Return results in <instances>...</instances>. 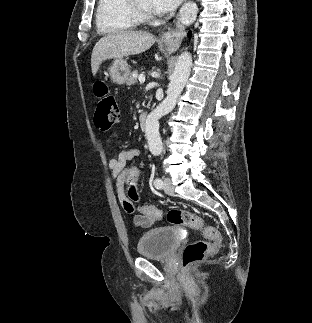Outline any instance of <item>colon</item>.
<instances>
[{
	"label": "colon",
	"mask_w": 312,
	"mask_h": 323,
	"mask_svg": "<svg viewBox=\"0 0 312 323\" xmlns=\"http://www.w3.org/2000/svg\"><path fill=\"white\" fill-rule=\"evenodd\" d=\"M98 84L95 89L101 97L98 100L97 109L95 112V126L101 132L107 131L117 123L120 117V107L115 97L108 94L107 87L101 80H97ZM127 183L132 184L129 187L128 193L131 200L124 199L122 207L128 213L134 210L133 202L138 201V193L136 187V179H139L140 174L137 168H128ZM138 213H158L160 208L158 206H150L148 202H141L137 208ZM167 216V220L172 225H187L195 231H202L207 237L211 238V242L196 241L188 244L183 252L182 269H189L191 264H196L203 261L206 257L213 255L222 245V238L217 235V232L211 228L204 226L200 217L189 210H182L178 208H171Z\"/></svg>",
	"instance_id": "1"
}]
</instances>
